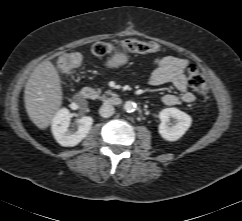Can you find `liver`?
Masks as SVG:
<instances>
[{"mask_svg": "<svg viewBox=\"0 0 242 221\" xmlns=\"http://www.w3.org/2000/svg\"><path fill=\"white\" fill-rule=\"evenodd\" d=\"M24 94L25 108L31 121L38 128L46 129L63 98L61 79L51 61H43L33 70Z\"/></svg>", "mask_w": 242, "mask_h": 221, "instance_id": "6515ba94", "label": "liver"}]
</instances>
